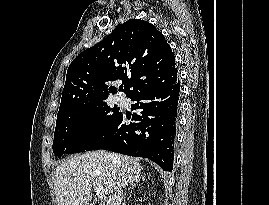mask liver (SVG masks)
<instances>
[{
	"mask_svg": "<svg viewBox=\"0 0 269 205\" xmlns=\"http://www.w3.org/2000/svg\"><path fill=\"white\" fill-rule=\"evenodd\" d=\"M142 166L136 158L121 154L93 151L77 155L58 165L55 172V192L58 205H85L92 199V184L104 186L107 194L134 183Z\"/></svg>",
	"mask_w": 269,
	"mask_h": 205,
	"instance_id": "1",
	"label": "liver"
}]
</instances>
